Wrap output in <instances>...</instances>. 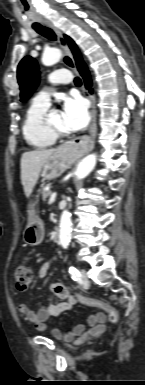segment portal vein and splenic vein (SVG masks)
Wrapping results in <instances>:
<instances>
[{
    "mask_svg": "<svg viewBox=\"0 0 145 385\" xmlns=\"http://www.w3.org/2000/svg\"><path fill=\"white\" fill-rule=\"evenodd\" d=\"M56 192H53L52 194H51V196H50V202H53V201H55V199H56Z\"/></svg>",
    "mask_w": 145,
    "mask_h": 385,
    "instance_id": "portal-vein-and-splenic-vein-1",
    "label": "portal vein and splenic vein"
}]
</instances>
